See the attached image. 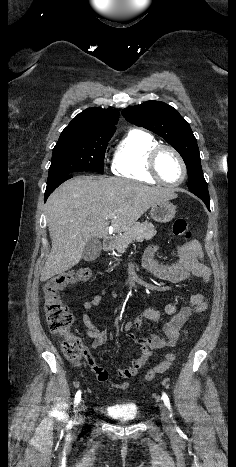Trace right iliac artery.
<instances>
[{
    "label": "right iliac artery",
    "instance_id": "82829eb1",
    "mask_svg": "<svg viewBox=\"0 0 236 467\" xmlns=\"http://www.w3.org/2000/svg\"><path fill=\"white\" fill-rule=\"evenodd\" d=\"M80 400H81V391L79 390V391H77V393L75 395L74 408L79 404Z\"/></svg>",
    "mask_w": 236,
    "mask_h": 467
}]
</instances>
